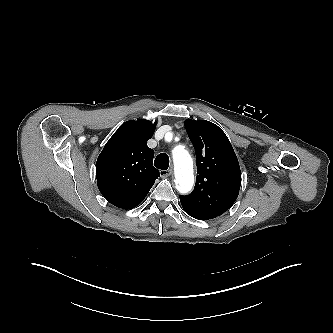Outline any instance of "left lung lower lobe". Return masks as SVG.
<instances>
[{
  "label": "left lung lower lobe",
  "mask_w": 333,
  "mask_h": 333,
  "mask_svg": "<svg viewBox=\"0 0 333 333\" xmlns=\"http://www.w3.org/2000/svg\"><path fill=\"white\" fill-rule=\"evenodd\" d=\"M182 207L188 215H190L191 217L198 219V220H208V219H212V218L216 217L208 212L198 210V209H195L192 207L183 206V205H182Z\"/></svg>",
  "instance_id": "0a47b994"
}]
</instances>
